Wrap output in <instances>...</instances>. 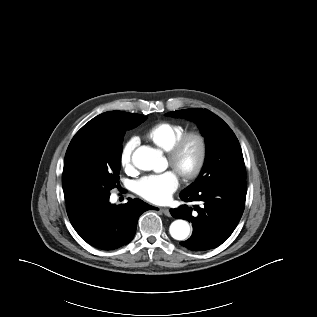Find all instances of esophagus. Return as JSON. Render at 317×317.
<instances>
[{
	"label": "esophagus",
	"instance_id": "1",
	"mask_svg": "<svg viewBox=\"0 0 317 317\" xmlns=\"http://www.w3.org/2000/svg\"><path fill=\"white\" fill-rule=\"evenodd\" d=\"M160 210L165 216L167 217L171 216L170 210L168 208H161Z\"/></svg>",
	"mask_w": 317,
	"mask_h": 317
}]
</instances>
